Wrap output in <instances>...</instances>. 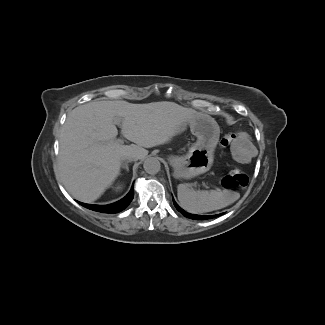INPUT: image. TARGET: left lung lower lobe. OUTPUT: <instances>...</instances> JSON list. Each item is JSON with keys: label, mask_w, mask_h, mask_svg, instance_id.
Wrapping results in <instances>:
<instances>
[{"label": "left lung lower lobe", "mask_w": 325, "mask_h": 325, "mask_svg": "<svg viewBox=\"0 0 325 325\" xmlns=\"http://www.w3.org/2000/svg\"><path fill=\"white\" fill-rule=\"evenodd\" d=\"M173 203L176 207V209L178 211H180L184 216L188 217V218H191V219H196V220H206V219H211V218H214V217H217L219 215H222L223 213L221 214H218V215H195V214H190V213H187L185 212L182 208H180L177 203L174 201L173 199Z\"/></svg>", "instance_id": "0a47b994"}]
</instances>
